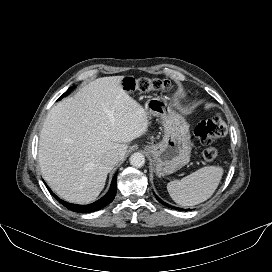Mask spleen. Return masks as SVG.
<instances>
[{
  "label": "spleen",
  "mask_w": 272,
  "mask_h": 272,
  "mask_svg": "<svg viewBox=\"0 0 272 272\" xmlns=\"http://www.w3.org/2000/svg\"><path fill=\"white\" fill-rule=\"evenodd\" d=\"M222 175V167H203L181 180L169 182L167 190L177 204L181 206L197 205L213 195L221 181Z\"/></svg>",
  "instance_id": "3e777b00"
}]
</instances>
